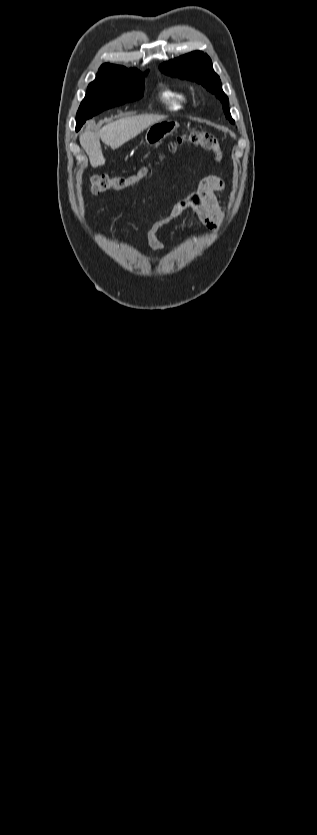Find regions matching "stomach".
Returning a JSON list of instances; mask_svg holds the SVG:
<instances>
[{
	"mask_svg": "<svg viewBox=\"0 0 317 835\" xmlns=\"http://www.w3.org/2000/svg\"><path fill=\"white\" fill-rule=\"evenodd\" d=\"M179 126V123L174 120H162L152 124L148 127L145 135L146 143L151 147L157 146L165 138L173 134Z\"/></svg>",
	"mask_w": 317,
	"mask_h": 835,
	"instance_id": "stomach-1",
	"label": "stomach"
}]
</instances>
